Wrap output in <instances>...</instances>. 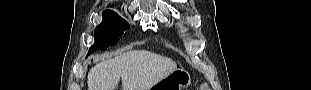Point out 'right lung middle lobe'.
Listing matches in <instances>:
<instances>
[{
	"label": "right lung middle lobe",
	"instance_id": "right-lung-middle-lobe-1",
	"mask_svg": "<svg viewBox=\"0 0 311 90\" xmlns=\"http://www.w3.org/2000/svg\"><path fill=\"white\" fill-rule=\"evenodd\" d=\"M129 28V24L112 10L103 12V20L95 28V43L88 55L97 49L106 50L109 45H116L119 37Z\"/></svg>",
	"mask_w": 311,
	"mask_h": 90
}]
</instances>
